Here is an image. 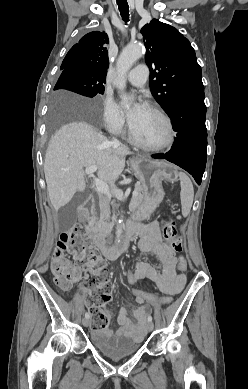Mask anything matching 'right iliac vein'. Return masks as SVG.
<instances>
[{
    "label": "right iliac vein",
    "instance_id": "1",
    "mask_svg": "<svg viewBox=\"0 0 248 389\" xmlns=\"http://www.w3.org/2000/svg\"><path fill=\"white\" fill-rule=\"evenodd\" d=\"M82 324H83L84 327H88L89 324H90L89 318H84V319L82 320Z\"/></svg>",
    "mask_w": 248,
    "mask_h": 389
}]
</instances>
